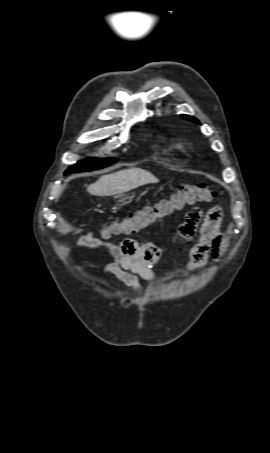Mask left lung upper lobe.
Wrapping results in <instances>:
<instances>
[{
	"mask_svg": "<svg viewBox=\"0 0 270 453\" xmlns=\"http://www.w3.org/2000/svg\"><path fill=\"white\" fill-rule=\"evenodd\" d=\"M184 118H186L187 120H190V121H193V122H196V123H199V121L194 118V117H190V116H187V115H182Z\"/></svg>",
	"mask_w": 270,
	"mask_h": 453,
	"instance_id": "1",
	"label": "left lung upper lobe"
}]
</instances>
